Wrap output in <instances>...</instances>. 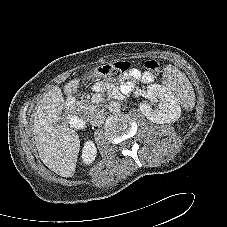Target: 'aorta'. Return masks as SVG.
Returning <instances> with one entry per match:
<instances>
[{
	"mask_svg": "<svg viewBox=\"0 0 227 227\" xmlns=\"http://www.w3.org/2000/svg\"><path fill=\"white\" fill-rule=\"evenodd\" d=\"M108 109L112 113H117V112L120 111L121 105H120V103L118 101H111L109 103Z\"/></svg>",
	"mask_w": 227,
	"mask_h": 227,
	"instance_id": "762f6f07",
	"label": "aorta"
}]
</instances>
